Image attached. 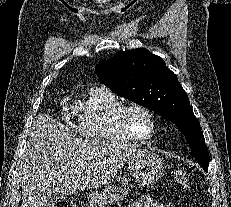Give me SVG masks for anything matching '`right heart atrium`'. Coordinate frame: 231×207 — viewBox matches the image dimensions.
Here are the masks:
<instances>
[{"instance_id": "d8ad5b80", "label": "right heart atrium", "mask_w": 231, "mask_h": 207, "mask_svg": "<svg viewBox=\"0 0 231 207\" xmlns=\"http://www.w3.org/2000/svg\"><path fill=\"white\" fill-rule=\"evenodd\" d=\"M66 102H67V99H66V98H62V99L60 100V104H61L62 106H64V105L66 104Z\"/></svg>"}]
</instances>
